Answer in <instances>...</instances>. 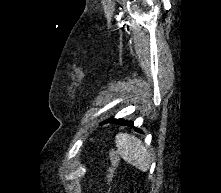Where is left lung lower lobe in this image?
Instances as JSON below:
<instances>
[{
  "mask_svg": "<svg viewBox=\"0 0 221 193\" xmlns=\"http://www.w3.org/2000/svg\"><path fill=\"white\" fill-rule=\"evenodd\" d=\"M109 120L112 121V122L120 123L122 125L133 126L132 121H124L123 119H113V118H110ZM135 130L138 131V132H141L140 130H138L136 128H135Z\"/></svg>",
  "mask_w": 221,
  "mask_h": 193,
  "instance_id": "obj_1",
  "label": "left lung lower lobe"
}]
</instances>
